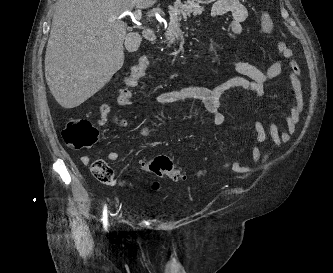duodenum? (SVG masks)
<instances>
[{
	"mask_svg": "<svg viewBox=\"0 0 333 273\" xmlns=\"http://www.w3.org/2000/svg\"><path fill=\"white\" fill-rule=\"evenodd\" d=\"M142 34L145 40H147L148 42H155L157 39L155 31L151 28L144 29Z\"/></svg>",
	"mask_w": 333,
	"mask_h": 273,
	"instance_id": "obj_1",
	"label": "duodenum"
}]
</instances>
